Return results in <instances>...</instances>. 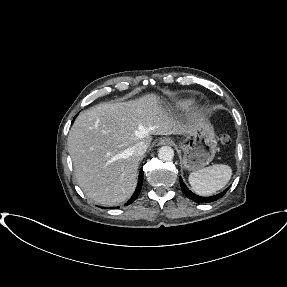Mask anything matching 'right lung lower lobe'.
Returning a JSON list of instances; mask_svg holds the SVG:
<instances>
[{"mask_svg": "<svg viewBox=\"0 0 287 287\" xmlns=\"http://www.w3.org/2000/svg\"><path fill=\"white\" fill-rule=\"evenodd\" d=\"M142 184H143V170L140 169V173H139V177H138V183H137V187L135 189V192L132 195V197L128 200V202L125 204V206L133 203V201H135L137 199L138 195L141 192Z\"/></svg>", "mask_w": 287, "mask_h": 287, "instance_id": "right-lung-lower-lobe-1", "label": "right lung lower lobe"}]
</instances>
